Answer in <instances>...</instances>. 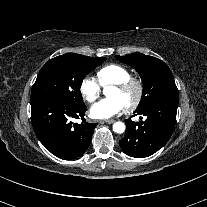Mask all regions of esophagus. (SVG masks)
I'll return each instance as SVG.
<instances>
[{
	"mask_svg": "<svg viewBox=\"0 0 207 207\" xmlns=\"http://www.w3.org/2000/svg\"><path fill=\"white\" fill-rule=\"evenodd\" d=\"M101 123H107V124H111V123H114L115 120L114 119H104L102 121H100Z\"/></svg>",
	"mask_w": 207,
	"mask_h": 207,
	"instance_id": "esophagus-1",
	"label": "esophagus"
}]
</instances>
